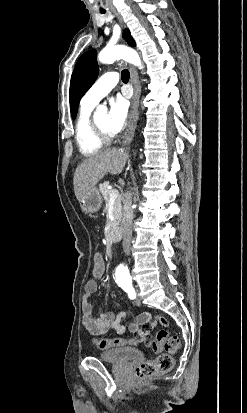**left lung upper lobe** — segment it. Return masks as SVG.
I'll return each instance as SVG.
<instances>
[{
    "mask_svg": "<svg viewBox=\"0 0 247 413\" xmlns=\"http://www.w3.org/2000/svg\"><path fill=\"white\" fill-rule=\"evenodd\" d=\"M123 37L130 46H135V41L127 29L124 31ZM98 71L96 50H90L78 59L71 77L69 92L73 119L76 116L80 99L97 79Z\"/></svg>",
    "mask_w": 247,
    "mask_h": 413,
    "instance_id": "5c2ea615",
    "label": "left lung upper lobe"
}]
</instances>
